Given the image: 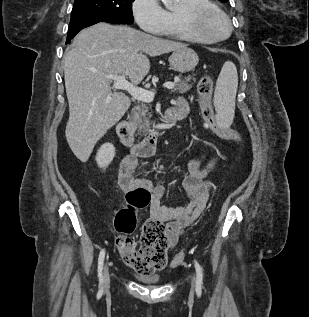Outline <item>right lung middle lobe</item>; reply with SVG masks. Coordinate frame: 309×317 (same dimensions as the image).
I'll list each match as a JSON object with an SVG mask.
<instances>
[{
	"instance_id": "right-lung-middle-lobe-1",
	"label": "right lung middle lobe",
	"mask_w": 309,
	"mask_h": 317,
	"mask_svg": "<svg viewBox=\"0 0 309 317\" xmlns=\"http://www.w3.org/2000/svg\"><path fill=\"white\" fill-rule=\"evenodd\" d=\"M134 0H75L71 20L83 17H105L132 24Z\"/></svg>"
}]
</instances>
